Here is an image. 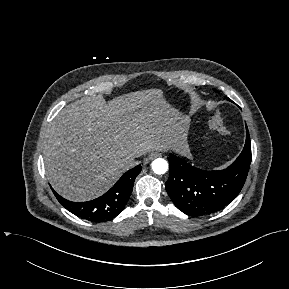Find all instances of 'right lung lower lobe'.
<instances>
[{"label":"right lung lower lobe","instance_id":"1","mask_svg":"<svg viewBox=\"0 0 289 289\" xmlns=\"http://www.w3.org/2000/svg\"><path fill=\"white\" fill-rule=\"evenodd\" d=\"M138 165L127 171L104 195L88 202H72L62 198L53 189L57 200L70 212L93 222H104L115 217L125 206L131 195L136 176L141 171Z\"/></svg>","mask_w":289,"mask_h":289}]
</instances>
